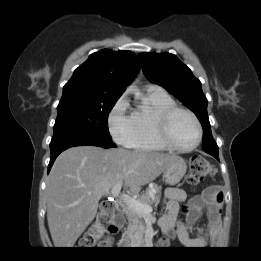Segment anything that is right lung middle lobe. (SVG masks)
<instances>
[{
    "label": "right lung middle lobe",
    "instance_id": "dd1d6c3e",
    "mask_svg": "<svg viewBox=\"0 0 261 261\" xmlns=\"http://www.w3.org/2000/svg\"><path fill=\"white\" fill-rule=\"evenodd\" d=\"M120 96H62L53 138L90 133L111 138L108 114Z\"/></svg>",
    "mask_w": 261,
    "mask_h": 261
}]
</instances>
